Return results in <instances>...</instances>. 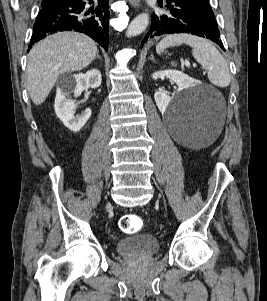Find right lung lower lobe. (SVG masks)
I'll return each mask as SVG.
<instances>
[{
    "instance_id": "right-lung-lower-lobe-1",
    "label": "right lung lower lobe",
    "mask_w": 267,
    "mask_h": 301,
    "mask_svg": "<svg viewBox=\"0 0 267 301\" xmlns=\"http://www.w3.org/2000/svg\"><path fill=\"white\" fill-rule=\"evenodd\" d=\"M108 0H96L95 6L87 0H60L42 7L38 13L29 49L46 35L58 31L73 30L85 33L106 51L109 44Z\"/></svg>"
}]
</instances>
